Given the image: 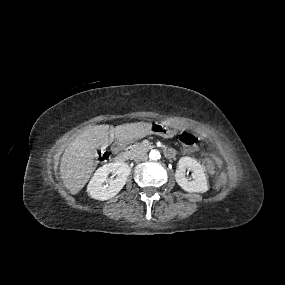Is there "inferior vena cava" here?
Here are the masks:
<instances>
[{"label":"inferior vena cava","instance_id":"inferior-vena-cava-1","mask_svg":"<svg viewBox=\"0 0 285 285\" xmlns=\"http://www.w3.org/2000/svg\"><path fill=\"white\" fill-rule=\"evenodd\" d=\"M148 159V155L145 152L139 153L135 156L134 161L135 162H142L146 161Z\"/></svg>","mask_w":285,"mask_h":285}]
</instances>
